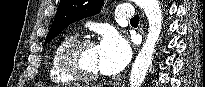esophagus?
Returning <instances> with one entry per match:
<instances>
[{"mask_svg":"<svg viewBox=\"0 0 205 87\" xmlns=\"http://www.w3.org/2000/svg\"><path fill=\"white\" fill-rule=\"evenodd\" d=\"M141 33H142V35L144 36V31H143V29H142Z\"/></svg>","mask_w":205,"mask_h":87,"instance_id":"obj_1","label":"esophagus"}]
</instances>
